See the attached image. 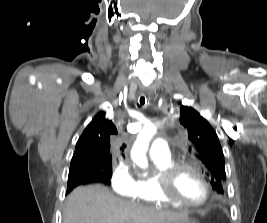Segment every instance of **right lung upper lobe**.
<instances>
[{"instance_id":"obj_1","label":"right lung upper lobe","mask_w":267,"mask_h":223,"mask_svg":"<svg viewBox=\"0 0 267 223\" xmlns=\"http://www.w3.org/2000/svg\"><path fill=\"white\" fill-rule=\"evenodd\" d=\"M105 113L97 114L79 138L70 167L85 165L84 172L106 176L112 170L109 154L110 135L117 134L114 124L104 119Z\"/></svg>"}]
</instances>
